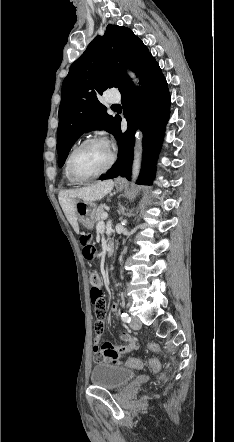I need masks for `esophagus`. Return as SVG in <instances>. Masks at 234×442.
<instances>
[{"label": "esophagus", "instance_id": "esophagus-1", "mask_svg": "<svg viewBox=\"0 0 234 442\" xmlns=\"http://www.w3.org/2000/svg\"><path fill=\"white\" fill-rule=\"evenodd\" d=\"M116 181L121 182V181H123V179L121 177H118Z\"/></svg>", "mask_w": 234, "mask_h": 442}]
</instances>
